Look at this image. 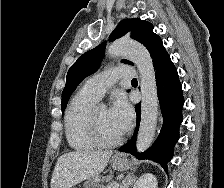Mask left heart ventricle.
Instances as JSON below:
<instances>
[{"label":"left heart ventricle","mask_w":224,"mask_h":188,"mask_svg":"<svg viewBox=\"0 0 224 188\" xmlns=\"http://www.w3.org/2000/svg\"><path fill=\"white\" fill-rule=\"evenodd\" d=\"M97 119L101 134L107 139H115L122 134L115 121L112 119L109 110L105 107H99L97 110Z\"/></svg>","instance_id":"b2bd125f"}]
</instances>
